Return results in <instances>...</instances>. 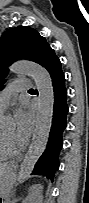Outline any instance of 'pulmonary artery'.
Returning a JSON list of instances; mask_svg holds the SVG:
<instances>
[{
    "mask_svg": "<svg viewBox=\"0 0 89 203\" xmlns=\"http://www.w3.org/2000/svg\"><path fill=\"white\" fill-rule=\"evenodd\" d=\"M33 87V84L27 79H18L11 85H9L1 94L0 97V112H3L11 97L18 92L28 91Z\"/></svg>",
    "mask_w": 89,
    "mask_h": 203,
    "instance_id": "obj_1",
    "label": "pulmonary artery"
}]
</instances>
